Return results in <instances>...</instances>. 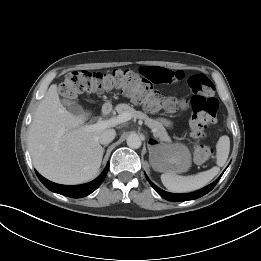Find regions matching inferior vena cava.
<instances>
[{
	"label": "inferior vena cava",
	"instance_id": "obj_1",
	"mask_svg": "<svg viewBox=\"0 0 261 261\" xmlns=\"http://www.w3.org/2000/svg\"><path fill=\"white\" fill-rule=\"evenodd\" d=\"M116 136L114 129H105L99 136V142L103 145L111 143Z\"/></svg>",
	"mask_w": 261,
	"mask_h": 261
}]
</instances>
